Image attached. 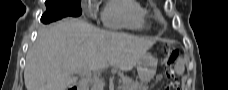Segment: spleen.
<instances>
[{
    "instance_id": "1",
    "label": "spleen",
    "mask_w": 228,
    "mask_h": 90,
    "mask_svg": "<svg viewBox=\"0 0 228 90\" xmlns=\"http://www.w3.org/2000/svg\"><path fill=\"white\" fill-rule=\"evenodd\" d=\"M176 72L179 74V75H182L184 73V65L183 63H180L179 66L177 67L176 69Z\"/></svg>"
}]
</instances>
